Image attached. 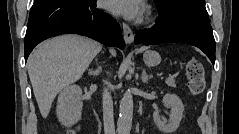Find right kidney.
<instances>
[{"label": "right kidney", "mask_w": 239, "mask_h": 134, "mask_svg": "<svg viewBox=\"0 0 239 134\" xmlns=\"http://www.w3.org/2000/svg\"><path fill=\"white\" fill-rule=\"evenodd\" d=\"M82 90L78 85L65 88L57 101V117L64 126H72L81 119L83 103Z\"/></svg>", "instance_id": "ca27d5eb"}]
</instances>
